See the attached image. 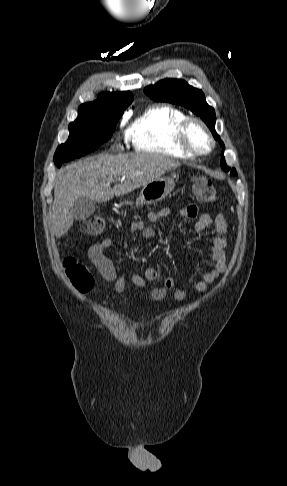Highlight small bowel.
I'll list each match as a JSON object with an SVG mask.
<instances>
[{
  "label": "small bowel",
  "instance_id": "1",
  "mask_svg": "<svg viewBox=\"0 0 287 486\" xmlns=\"http://www.w3.org/2000/svg\"><path fill=\"white\" fill-rule=\"evenodd\" d=\"M172 210L170 208H162L159 210L150 211L147 219L150 222H157L163 218L170 216ZM178 215L182 218L194 220V230L196 232H203L212 225L215 228L216 234L211 240L210 247V262L211 268L206 271L202 277L195 283V289L198 292H204L208 286L216 281L223 273L226 272L227 263L225 248L227 247V220L224 215L219 214L213 218L208 213H199L195 205L178 210ZM129 230L131 232H141L144 238L154 239L157 236L156 230L146 225L144 220H137L130 224ZM111 238H105L93 244L88 251L89 260L96 267L98 272L107 282L114 284V289L118 293H122L126 287V278L124 275H118L112 261L106 256V250L112 245ZM158 278V271L156 268L148 267L142 270L141 273H135L131 276V282L138 288H145L147 281H154ZM175 280L168 277L164 280L163 285L153 288L150 292L153 300H163L169 291L175 288ZM189 289L187 287L176 289L173 292V299L175 301H183L187 298Z\"/></svg>",
  "mask_w": 287,
  "mask_h": 486
}]
</instances>
